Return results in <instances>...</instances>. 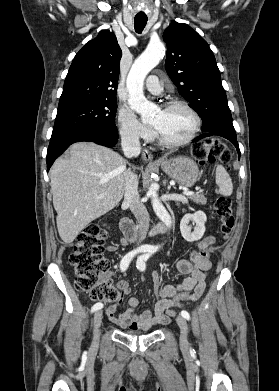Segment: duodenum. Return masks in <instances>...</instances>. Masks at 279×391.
Returning a JSON list of instances; mask_svg holds the SVG:
<instances>
[{"instance_id": "1", "label": "duodenum", "mask_w": 279, "mask_h": 391, "mask_svg": "<svg viewBox=\"0 0 279 391\" xmlns=\"http://www.w3.org/2000/svg\"><path fill=\"white\" fill-rule=\"evenodd\" d=\"M120 229L127 241H136L139 237L138 229L133 221L127 217H122L120 220ZM168 226L163 222H158L148 233L149 237H153L160 233H165Z\"/></svg>"}]
</instances>
